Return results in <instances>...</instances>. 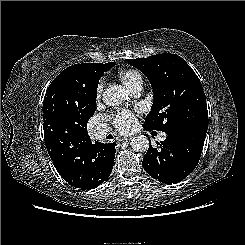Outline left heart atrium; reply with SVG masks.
<instances>
[{"instance_id":"1","label":"left heart atrium","mask_w":245,"mask_h":245,"mask_svg":"<svg viewBox=\"0 0 245 245\" xmlns=\"http://www.w3.org/2000/svg\"><path fill=\"white\" fill-rule=\"evenodd\" d=\"M114 126L121 132L127 133L131 131L136 125L134 115L129 111H120L110 117Z\"/></svg>"}]
</instances>
